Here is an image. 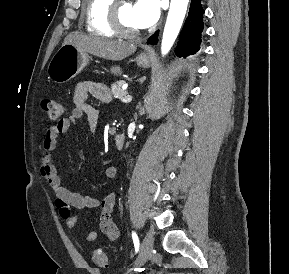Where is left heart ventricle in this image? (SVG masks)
<instances>
[{"instance_id":"obj_1","label":"left heart ventricle","mask_w":289,"mask_h":274,"mask_svg":"<svg viewBox=\"0 0 289 274\" xmlns=\"http://www.w3.org/2000/svg\"><path fill=\"white\" fill-rule=\"evenodd\" d=\"M120 17L123 24L133 30L139 29V27L135 24L132 15V4L129 2H123L120 5Z\"/></svg>"}]
</instances>
